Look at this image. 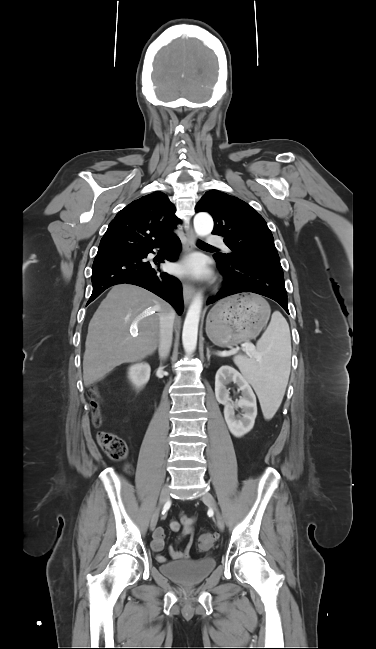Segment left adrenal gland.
<instances>
[{
	"label": "left adrenal gland",
	"mask_w": 376,
	"mask_h": 649,
	"mask_svg": "<svg viewBox=\"0 0 376 649\" xmlns=\"http://www.w3.org/2000/svg\"><path fill=\"white\" fill-rule=\"evenodd\" d=\"M210 357H211L210 350H209V348H207V360H208V362L210 361Z\"/></svg>",
	"instance_id": "1"
}]
</instances>
